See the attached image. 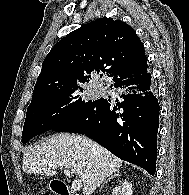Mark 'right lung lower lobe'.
<instances>
[{
    "label": "right lung lower lobe",
    "mask_w": 189,
    "mask_h": 195,
    "mask_svg": "<svg viewBox=\"0 0 189 195\" xmlns=\"http://www.w3.org/2000/svg\"><path fill=\"white\" fill-rule=\"evenodd\" d=\"M110 87L119 91V99H97L53 131L84 134L154 175L159 103L147 66L132 76L122 75Z\"/></svg>",
    "instance_id": "98d812e1"
}]
</instances>
